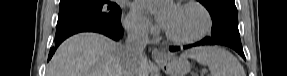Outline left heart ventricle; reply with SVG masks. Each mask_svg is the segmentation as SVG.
I'll return each mask as SVG.
<instances>
[{"mask_svg":"<svg viewBox=\"0 0 287 76\" xmlns=\"http://www.w3.org/2000/svg\"><path fill=\"white\" fill-rule=\"evenodd\" d=\"M202 14L192 7H177L176 13L166 30L176 37H189L196 34L203 26Z\"/></svg>","mask_w":287,"mask_h":76,"instance_id":"b2bd125f","label":"left heart ventricle"}]
</instances>
